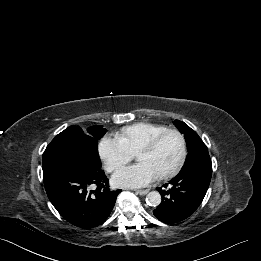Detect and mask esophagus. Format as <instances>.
<instances>
[{
  "label": "esophagus",
  "instance_id": "esophagus-1",
  "mask_svg": "<svg viewBox=\"0 0 261 261\" xmlns=\"http://www.w3.org/2000/svg\"><path fill=\"white\" fill-rule=\"evenodd\" d=\"M149 192V190H138V191H136V193L137 194H139V195H146L147 193Z\"/></svg>",
  "mask_w": 261,
  "mask_h": 261
}]
</instances>
